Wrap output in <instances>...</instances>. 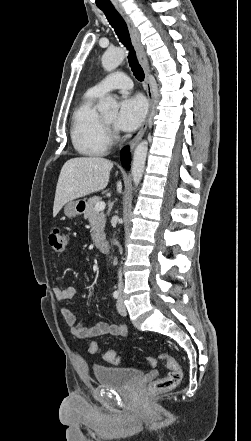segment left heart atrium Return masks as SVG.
I'll list each match as a JSON object with an SVG mask.
<instances>
[{
  "mask_svg": "<svg viewBox=\"0 0 251 441\" xmlns=\"http://www.w3.org/2000/svg\"><path fill=\"white\" fill-rule=\"evenodd\" d=\"M145 114L146 103L142 97H125L120 103V110L115 120V126L122 131H134L143 121Z\"/></svg>",
  "mask_w": 251,
  "mask_h": 441,
  "instance_id": "39dd6f15",
  "label": "left heart atrium"
}]
</instances>
